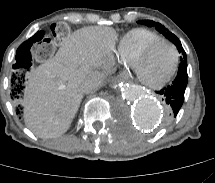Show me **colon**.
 <instances>
[{"label": "colon", "mask_w": 215, "mask_h": 183, "mask_svg": "<svg viewBox=\"0 0 215 183\" xmlns=\"http://www.w3.org/2000/svg\"><path fill=\"white\" fill-rule=\"evenodd\" d=\"M70 27L65 22L54 23L51 36L43 29H36L32 37L22 44V49H14L16 58L7 62V71L11 76L12 91L10 99L14 103H21L25 99V76L30 72L34 61H45L54 53V40L64 41L68 38Z\"/></svg>", "instance_id": "obj_1"}]
</instances>
